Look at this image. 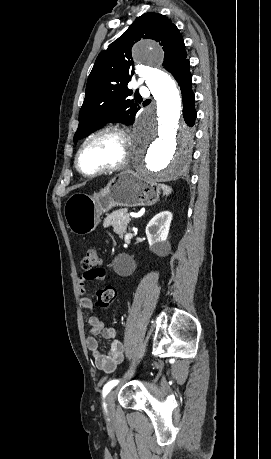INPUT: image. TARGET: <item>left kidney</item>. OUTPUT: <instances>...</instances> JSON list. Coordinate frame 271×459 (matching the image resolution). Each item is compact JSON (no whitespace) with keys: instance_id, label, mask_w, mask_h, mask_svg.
<instances>
[{"instance_id":"left-kidney-1","label":"left kidney","mask_w":271,"mask_h":459,"mask_svg":"<svg viewBox=\"0 0 271 459\" xmlns=\"http://www.w3.org/2000/svg\"><path fill=\"white\" fill-rule=\"evenodd\" d=\"M171 220V212H159L146 226L145 233L148 237L150 249L155 253H161V251H165L166 247H169L167 235Z\"/></svg>"}]
</instances>
